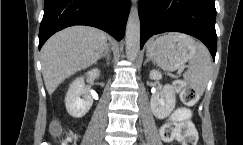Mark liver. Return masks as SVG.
Segmentation results:
<instances>
[{"label": "liver", "mask_w": 243, "mask_h": 145, "mask_svg": "<svg viewBox=\"0 0 243 145\" xmlns=\"http://www.w3.org/2000/svg\"><path fill=\"white\" fill-rule=\"evenodd\" d=\"M107 34L86 26H73L53 35L41 49L42 75L51 95L69 76L100 59Z\"/></svg>", "instance_id": "6515ba94"}]
</instances>
